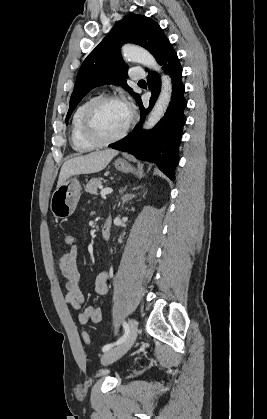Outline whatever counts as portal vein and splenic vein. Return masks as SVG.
I'll list each match as a JSON object with an SVG mask.
<instances>
[{
	"label": "portal vein and splenic vein",
	"mask_w": 267,
	"mask_h": 419,
	"mask_svg": "<svg viewBox=\"0 0 267 419\" xmlns=\"http://www.w3.org/2000/svg\"><path fill=\"white\" fill-rule=\"evenodd\" d=\"M112 192L113 190L111 188H104V189H101L100 194L102 197H104L108 194H111Z\"/></svg>",
	"instance_id": "1"
}]
</instances>
